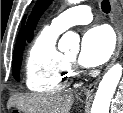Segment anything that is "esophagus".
<instances>
[{"instance_id":"34e87169","label":"esophagus","mask_w":123,"mask_h":113,"mask_svg":"<svg viewBox=\"0 0 123 113\" xmlns=\"http://www.w3.org/2000/svg\"><path fill=\"white\" fill-rule=\"evenodd\" d=\"M110 3H111V9H112L113 25H114V29H115V32H116V35H117V44H116V49L114 51L113 57L111 59V62L107 66L106 70L109 69L112 66V64L116 61V59L118 58V56L120 54V51H121V48H122V40H123L121 27H120L118 16H117L118 2H117V0H110ZM100 79H101V76L98 77L93 83H91L84 90V94L86 96L92 95V93L96 89Z\"/></svg>"}]
</instances>
